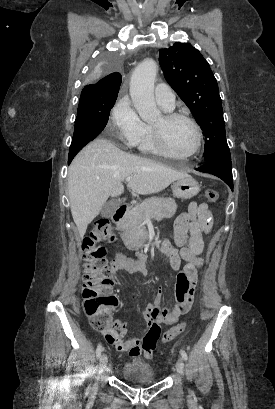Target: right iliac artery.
Masks as SVG:
<instances>
[{
    "mask_svg": "<svg viewBox=\"0 0 275 409\" xmlns=\"http://www.w3.org/2000/svg\"><path fill=\"white\" fill-rule=\"evenodd\" d=\"M103 351V347L101 344H98L97 349H96V357L100 358L101 352Z\"/></svg>",
    "mask_w": 275,
    "mask_h": 409,
    "instance_id": "obj_1",
    "label": "right iliac artery"
}]
</instances>
